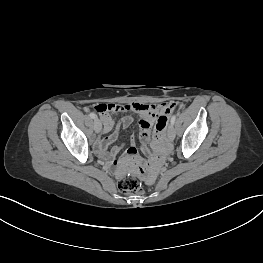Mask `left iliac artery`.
Here are the masks:
<instances>
[{
	"mask_svg": "<svg viewBox=\"0 0 263 263\" xmlns=\"http://www.w3.org/2000/svg\"><path fill=\"white\" fill-rule=\"evenodd\" d=\"M175 120H176V116L173 115L172 118H171V125H174L175 124Z\"/></svg>",
	"mask_w": 263,
	"mask_h": 263,
	"instance_id": "44dca946",
	"label": "left iliac artery"
}]
</instances>
